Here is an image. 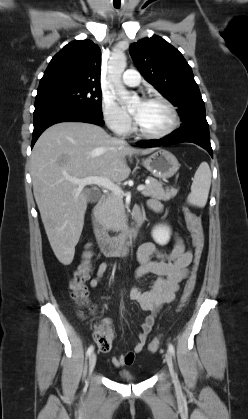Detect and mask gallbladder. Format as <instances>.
Listing matches in <instances>:
<instances>
[{"mask_svg":"<svg viewBox=\"0 0 248 419\" xmlns=\"http://www.w3.org/2000/svg\"><path fill=\"white\" fill-rule=\"evenodd\" d=\"M100 194L97 191H91L88 196V200L92 203H95L99 200Z\"/></svg>","mask_w":248,"mask_h":419,"instance_id":"1","label":"gallbladder"}]
</instances>
